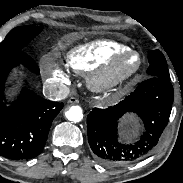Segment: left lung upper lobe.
Returning <instances> with one entry per match:
<instances>
[{
    "mask_svg": "<svg viewBox=\"0 0 183 183\" xmlns=\"http://www.w3.org/2000/svg\"><path fill=\"white\" fill-rule=\"evenodd\" d=\"M149 68L147 73L152 77H161L169 79V71L164 55L159 50L149 53Z\"/></svg>",
    "mask_w": 183,
    "mask_h": 183,
    "instance_id": "left-lung-upper-lobe-1",
    "label": "left lung upper lobe"
}]
</instances>
